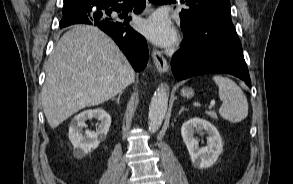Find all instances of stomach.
I'll return each instance as SVG.
<instances>
[{
    "label": "stomach",
    "instance_id": "0dacf381",
    "mask_svg": "<svg viewBox=\"0 0 293 184\" xmlns=\"http://www.w3.org/2000/svg\"><path fill=\"white\" fill-rule=\"evenodd\" d=\"M181 95L185 98H192L194 96V91L191 88H183L181 90Z\"/></svg>",
    "mask_w": 293,
    "mask_h": 184
}]
</instances>
